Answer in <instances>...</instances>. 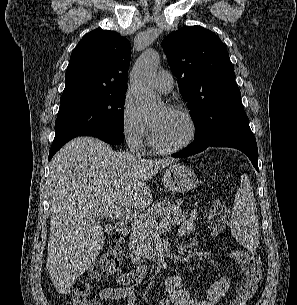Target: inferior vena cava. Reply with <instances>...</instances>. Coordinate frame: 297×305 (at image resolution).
Segmentation results:
<instances>
[{"instance_id": "inferior-vena-cava-1", "label": "inferior vena cava", "mask_w": 297, "mask_h": 305, "mask_svg": "<svg viewBox=\"0 0 297 305\" xmlns=\"http://www.w3.org/2000/svg\"><path fill=\"white\" fill-rule=\"evenodd\" d=\"M141 143V140L138 138L134 139V146L132 148V155L137 157V158H141V154L138 152V147Z\"/></svg>"}]
</instances>
